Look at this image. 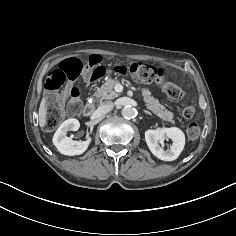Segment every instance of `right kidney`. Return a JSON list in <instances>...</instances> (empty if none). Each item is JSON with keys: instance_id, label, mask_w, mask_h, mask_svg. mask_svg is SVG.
<instances>
[{"instance_id": "obj_1", "label": "right kidney", "mask_w": 236, "mask_h": 236, "mask_svg": "<svg viewBox=\"0 0 236 236\" xmlns=\"http://www.w3.org/2000/svg\"><path fill=\"white\" fill-rule=\"evenodd\" d=\"M79 127L80 123L75 118H70L59 126L53 136V143L61 154L74 156L80 155L87 150L91 143V138L85 141H75L66 136L68 131H77Z\"/></svg>"}]
</instances>
